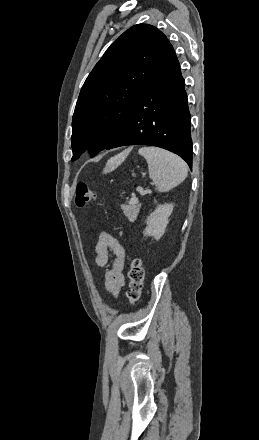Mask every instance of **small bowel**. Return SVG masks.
I'll list each match as a JSON object with an SVG mask.
<instances>
[{
  "mask_svg": "<svg viewBox=\"0 0 259 440\" xmlns=\"http://www.w3.org/2000/svg\"><path fill=\"white\" fill-rule=\"evenodd\" d=\"M95 252L96 265L105 268L102 274L103 286L109 294L117 296L125 285L126 252L122 241L109 231H102L97 237Z\"/></svg>",
  "mask_w": 259,
  "mask_h": 440,
  "instance_id": "small-bowel-1",
  "label": "small bowel"
}]
</instances>
